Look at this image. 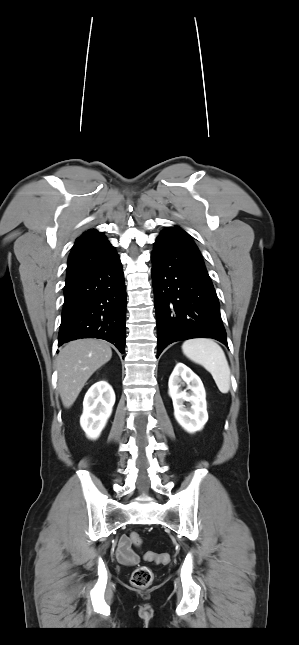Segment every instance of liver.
Listing matches in <instances>:
<instances>
[{
    "label": "liver",
    "instance_id": "6515ba94",
    "mask_svg": "<svg viewBox=\"0 0 299 645\" xmlns=\"http://www.w3.org/2000/svg\"><path fill=\"white\" fill-rule=\"evenodd\" d=\"M112 357L110 346L96 339L71 341L57 357L58 389L64 407L70 408L87 380Z\"/></svg>",
    "mask_w": 299,
    "mask_h": 645
}]
</instances>
